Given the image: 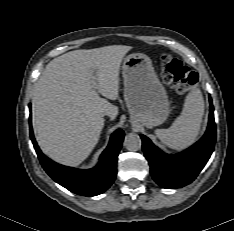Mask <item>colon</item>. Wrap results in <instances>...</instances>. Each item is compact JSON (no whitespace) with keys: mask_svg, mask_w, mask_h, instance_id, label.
<instances>
[{"mask_svg":"<svg viewBox=\"0 0 234 231\" xmlns=\"http://www.w3.org/2000/svg\"><path fill=\"white\" fill-rule=\"evenodd\" d=\"M160 75L163 82L173 87L178 93H187L198 85L197 74L170 55L162 56Z\"/></svg>","mask_w":234,"mask_h":231,"instance_id":"obj_1","label":"colon"}]
</instances>
